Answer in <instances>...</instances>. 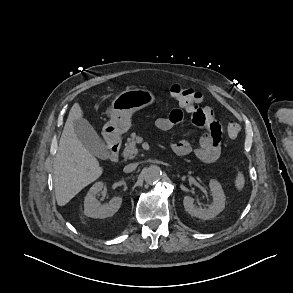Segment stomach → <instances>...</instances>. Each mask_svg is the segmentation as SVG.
<instances>
[{
  "label": "stomach",
  "mask_w": 293,
  "mask_h": 293,
  "mask_svg": "<svg viewBox=\"0 0 293 293\" xmlns=\"http://www.w3.org/2000/svg\"><path fill=\"white\" fill-rule=\"evenodd\" d=\"M155 102L154 94L145 89H128L119 93L111 105V118L103 127V133L111 138L119 136L131 127L132 115Z\"/></svg>",
  "instance_id": "0dacf381"
}]
</instances>
